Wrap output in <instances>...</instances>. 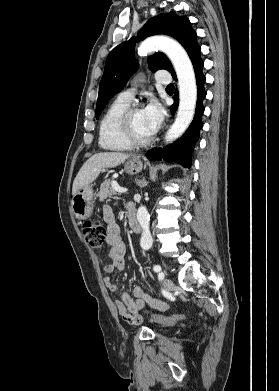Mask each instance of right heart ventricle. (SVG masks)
I'll list each match as a JSON object with an SVG mask.
<instances>
[{
    "instance_id": "e07e8e85",
    "label": "right heart ventricle",
    "mask_w": 279,
    "mask_h": 391,
    "mask_svg": "<svg viewBox=\"0 0 279 391\" xmlns=\"http://www.w3.org/2000/svg\"><path fill=\"white\" fill-rule=\"evenodd\" d=\"M130 100L118 96L106 109L99 124V145L109 151H126L132 146L123 137L120 118Z\"/></svg>"
}]
</instances>
